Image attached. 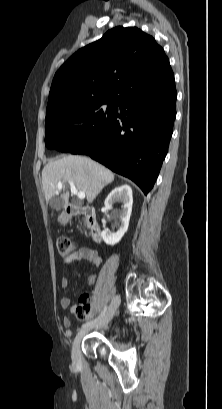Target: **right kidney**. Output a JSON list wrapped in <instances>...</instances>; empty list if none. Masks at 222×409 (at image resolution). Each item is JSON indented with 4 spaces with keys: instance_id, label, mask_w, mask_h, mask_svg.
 Here are the masks:
<instances>
[{
    "instance_id": "obj_1",
    "label": "right kidney",
    "mask_w": 222,
    "mask_h": 409,
    "mask_svg": "<svg viewBox=\"0 0 222 409\" xmlns=\"http://www.w3.org/2000/svg\"><path fill=\"white\" fill-rule=\"evenodd\" d=\"M117 201H120L123 204L122 209L119 212V230L115 233L105 229L101 233L104 242L108 245L118 243L128 230L133 204L132 188L129 185L124 184L114 188L105 200V207L111 208Z\"/></svg>"
}]
</instances>
